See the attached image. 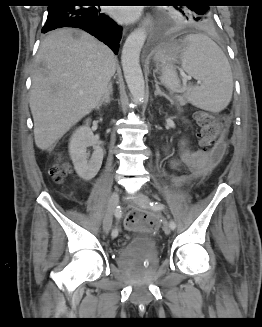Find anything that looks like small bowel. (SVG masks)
<instances>
[{"label": "small bowel", "instance_id": "1", "mask_svg": "<svg viewBox=\"0 0 262 327\" xmlns=\"http://www.w3.org/2000/svg\"><path fill=\"white\" fill-rule=\"evenodd\" d=\"M170 165L173 169H187L192 176H201L207 173L214 164L209 163V155L199 150H192L187 144H183L180 149L178 159L171 160ZM189 177L181 175L174 178L176 184L185 183Z\"/></svg>", "mask_w": 262, "mask_h": 327}]
</instances>
